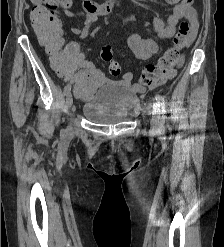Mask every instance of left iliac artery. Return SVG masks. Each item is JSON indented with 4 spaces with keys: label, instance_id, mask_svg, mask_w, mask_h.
<instances>
[{
    "label": "left iliac artery",
    "instance_id": "obj_1",
    "mask_svg": "<svg viewBox=\"0 0 224 247\" xmlns=\"http://www.w3.org/2000/svg\"><path fill=\"white\" fill-rule=\"evenodd\" d=\"M155 99L158 103V107H159V130L160 132H164L165 130V127H164V124H165V119H166V102H165V99L157 94L155 96Z\"/></svg>",
    "mask_w": 224,
    "mask_h": 247
}]
</instances>
